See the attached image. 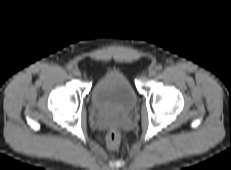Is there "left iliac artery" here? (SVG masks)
Listing matches in <instances>:
<instances>
[{"label":"left iliac artery","mask_w":231,"mask_h":170,"mask_svg":"<svg viewBox=\"0 0 231 170\" xmlns=\"http://www.w3.org/2000/svg\"><path fill=\"white\" fill-rule=\"evenodd\" d=\"M156 69H157L158 71L162 70V65H160V64L157 65V66H156Z\"/></svg>","instance_id":"1"}]
</instances>
